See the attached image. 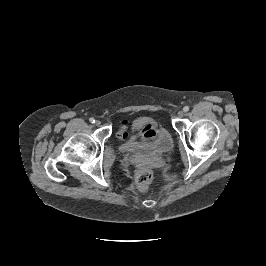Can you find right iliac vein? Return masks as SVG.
<instances>
[{"mask_svg": "<svg viewBox=\"0 0 266 266\" xmlns=\"http://www.w3.org/2000/svg\"><path fill=\"white\" fill-rule=\"evenodd\" d=\"M95 124H96L97 126H99V125H101V121L97 120V121L95 122Z\"/></svg>", "mask_w": 266, "mask_h": 266, "instance_id": "obj_1", "label": "right iliac vein"}]
</instances>
